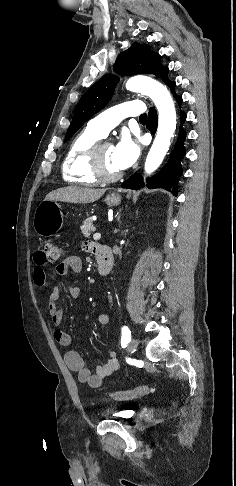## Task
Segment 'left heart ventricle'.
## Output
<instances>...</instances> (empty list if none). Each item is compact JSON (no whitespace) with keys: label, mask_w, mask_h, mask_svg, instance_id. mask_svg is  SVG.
Listing matches in <instances>:
<instances>
[{"label":"left heart ventricle","mask_w":236,"mask_h":486,"mask_svg":"<svg viewBox=\"0 0 236 486\" xmlns=\"http://www.w3.org/2000/svg\"><path fill=\"white\" fill-rule=\"evenodd\" d=\"M114 147L111 144H106L101 149V158L103 162V166L107 173L109 174H116L120 172V169L117 167L115 160H114Z\"/></svg>","instance_id":"1"}]
</instances>
